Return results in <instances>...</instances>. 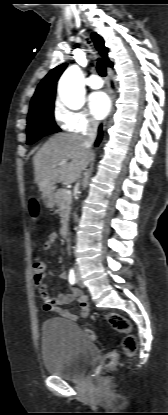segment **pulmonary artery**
<instances>
[{
  "label": "pulmonary artery",
  "instance_id": "1",
  "mask_svg": "<svg viewBox=\"0 0 168 415\" xmlns=\"http://www.w3.org/2000/svg\"><path fill=\"white\" fill-rule=\"evenodd\" d=\"M88 83L92 89H100L103 87V80L98 74L91 75Z\"/></svg>",
  "mask_w": 168,
  "mask_h": 415
}]
</instances>
